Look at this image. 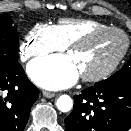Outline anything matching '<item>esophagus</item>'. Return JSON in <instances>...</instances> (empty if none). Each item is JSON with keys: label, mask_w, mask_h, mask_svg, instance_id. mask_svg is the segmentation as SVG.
<instances>
[{"label": "esophagus", "mask_w": 131, "mask_h": 131, "mask_svg": "<svg viewBox=\"0 0 131 131\" xmlns=\"http://www.w3.org/2000/svg\"><path fill=\"white\" fill-rule=\"evenodd\" d=\"M43 96L46 98H52L55 96V93L49 91H43Z\"/></svg>", "instance_id": "esophagus-1"}]
</instances>
